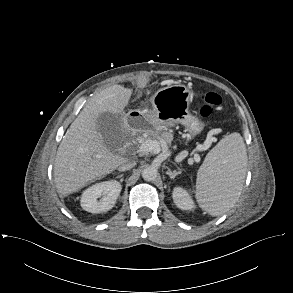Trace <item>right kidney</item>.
<instances>
[{"label": "right kidney", "mask_w": 293, "mask_h": 293, "mask_svg": "<svg viewBox=\"0 0 293 293\" xmlns=\"http://www.w3.org/2000/svg\"><path fill=\"white\" fill-rule=\"evenodd\" d=\"M121 189L116 180L96 183L82 193L81 207L90 213L106 212L115 205Z\"/></svg>", "instance_id": "1"}]
</instances>
